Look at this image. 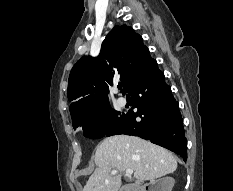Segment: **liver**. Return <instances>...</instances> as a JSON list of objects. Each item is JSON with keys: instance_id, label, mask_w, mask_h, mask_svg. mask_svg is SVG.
<instances>
[{"instance_id": "liver-1", "label": "liver", "mask_w": 233, "mask_h": 191, "mask_svg": "<svg viewBox=\"0 0 233 191\" xmlns=\"http://www.w3.org/2000/svg\"><path fill=\"white\" fill-rule=\"evenodd\" d=\"M96 169L83 191H119L121 176L112 170L134 171L137 180H154L177 169L175 156L160 146L134 136L116 135L105 138L96 147Z\"/></svg>"}]
</instances>
